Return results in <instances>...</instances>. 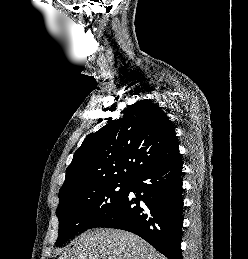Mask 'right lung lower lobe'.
Wrapping results in <instances>:
<instances>
[{
  "label": "right lung lower lobe",
  "instance_id": "obj_1",
  "mask_svg": "<svg viewBox=\"0 0 248 259\" xmlns=\"http://www.w3.org/2000/svg\"><path fill=\"white\" fill-rule=\"evenodd\" d=\"M182 161L157 164L130 180L114 213L98 227L126 230L149 242L168 259H182ZM136 193V198L129 196Z\"/></svg>",
  "mask_w": 248,
  "mask_h": 259
}]
</instances>
